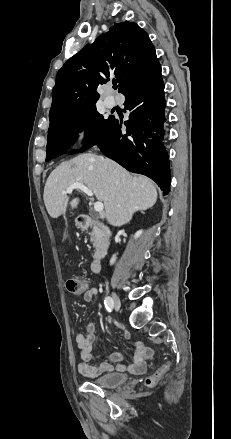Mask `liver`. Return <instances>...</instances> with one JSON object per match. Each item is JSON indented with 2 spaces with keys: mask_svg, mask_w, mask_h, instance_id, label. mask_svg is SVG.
I'll list each match as a JSON object with an SVG mask.
<instances>
[{
  "mask_svg": "<svg viewBox=\"0 0 231 439\" xmlns=\"http://www.w3.org/2000/svg\"><path fill=\"white\" fill-rule=\"evenodd\" d=\"M82 183L103 202L108 222L120 227L128 223L136 211L151 208L157 201L154 183L147 177L132 175L116 162L92 153L80 154L62 162L49 175L43 199L48 214L58 218L66 212L69 198L66 189ZM79 198L70 205L77 208Z\"/></svg>",
  "mask_w": 231,
  "mask_h": 439,
  "instance_id": "obj_1",
  "label": "liver"
}]
</instances>
